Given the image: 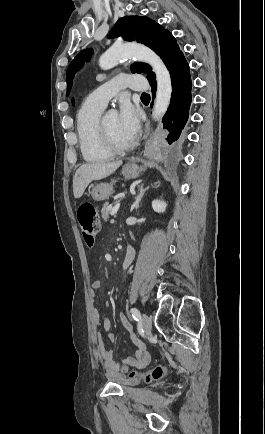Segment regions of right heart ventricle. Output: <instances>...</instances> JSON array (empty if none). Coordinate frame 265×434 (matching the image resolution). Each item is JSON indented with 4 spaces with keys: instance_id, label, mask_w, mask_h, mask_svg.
<instances>
[{
    "instance_id": "e07e8e85",
    "label": "right heart ventricle",
    "mask_w": 265,
    "mask_h": 434,
    "mask_svg": "<svg viewBox=\"0 0 265 434\" xmlns=\"http://www.w3.org/2000/svg\"><path fill=\"white\" fill-rule=\"evenodd\" d=\"M104 105L82 101L76 112V130L80 152L88 164L98 165L111 159L104 142L101 122Z\"/></svg>"
}]
</instances>
